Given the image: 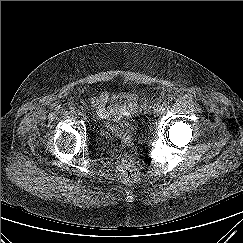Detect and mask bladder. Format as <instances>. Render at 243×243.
<instances>
[{
    "label": "bladder",
    "instance_id": "obj_1",
    "mask_svg": "<svg viewBox=\"0 0 243 243\" xmlns=\"http://www.w3.org/2000/svg\"><path fill=\"white\" fill-rule=\"evenodd\" d=\"M129 139H132L136 136V131L129 130L127 133ZM96 141L100 144H109L114 140L120 139L123 140V136L120 132L110 124H101L96 128L95 131Z\"/></svg>",
    "mask_w": 243,
    "mask_h": 243
}]
</instances>
